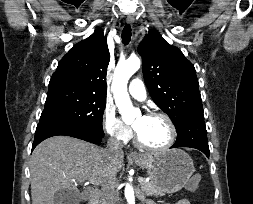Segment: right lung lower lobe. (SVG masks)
Masks as SVG:
<instances>
[{
  "label": "right lung lower lobe",
  "mask_w": 253,
  "mask_h": 204,
  "mask_svg": "<svg viewBox=\"0 0 253 204\" xmlns=\"http://www.w3.org/2000/svg\"><path fill=\"white\" fill-rule=\"evenodd\" d=\"M56 135L71 136L94 144L100 143L103 138V136L97 132L89 131L78 126L62 123L39 122L35 132V139L32 145V150L41 141Z\"/></svg>",
  "instance_id": "obj_1"
}]
</instances>
